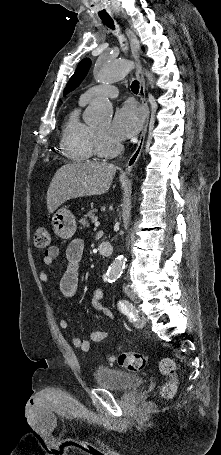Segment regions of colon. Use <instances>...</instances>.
<instances>
[{"label":"colon","instance_id":"1","mask_svg":"<svg viewBox=\"0 0 221 455\" xmlns=\"http://www.w3.org/2000/svg\"><path fill=\"white\" fill-rule=\"evenodd\" d=\"M34 246L39 250H49L51 246V235L46 228H38L34 235ZM119 366L129 371H141L146 366L144 355L136 352H124L111 358ZM161 371L170 377V381L165 383L161 389L162 396L169 398L173 395L178 380L176 377V364L170 358H164L160 362Z\"/></svg>","mask_w":221,"mask_h":455}]
</instances>
